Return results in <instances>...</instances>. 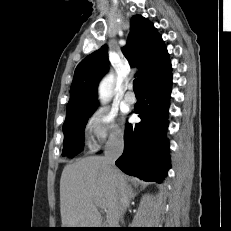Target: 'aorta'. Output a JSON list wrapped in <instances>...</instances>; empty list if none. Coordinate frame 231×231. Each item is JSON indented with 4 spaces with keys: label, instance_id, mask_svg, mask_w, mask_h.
Returning <instances> with one entry per match:
<instances>
[{
    "label": "aorta",
    "instance_id": "aorta-1",
    "mask_svg": "<svg viewBox=\"0 0 231 231\" xmlns=\"http://www.w3.org/2000/svg\"><path fill=\"white\" fill-rule=\"evenodd\" d=\"M114 85V76L107 75L100 83L98 88L99 100L101 103L108 102L112 96V89Z\"/></svg>",
    "mask_w": 231,
    "mask_h": 231
}]
</instances>
